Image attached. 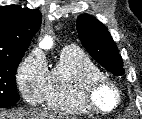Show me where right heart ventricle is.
Listing matches in <instances>:
<instances>
[{"label":"right heart ventricle","mask_w":142,"mask_h":119,"mask_svg":"<svg viewBox=\"0 0 142 119\" xmlns=\"http://www.w3.org/2000/svg\"><path fill=\"white\" fill-rule=\"evenodd\" d=\"M103 76L84 51L76 46L65 47L48 71L42 102L49 108L71 114H90L92 111L82 100V90L87 81Z\"/></svg>","instance_id":"e07e8e85"}]
</instances>
